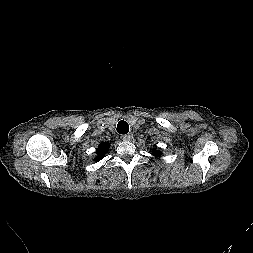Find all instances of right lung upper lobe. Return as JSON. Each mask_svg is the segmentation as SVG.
<instances>
[{
  "mask_svg": "<svg viewBox=\"0 0 253 253\" xmlns=\"http://www.w3.org/2000/svg\"><path fill=\"white\" fill-rule=\"evenodd\" d=\"M108 148H109V143H103L102 145H100L98 148L99 156L97 157L96 160H100L102 156L105 154V152L108 150Z\"/></svg>",
  "mask_w": 253,
  "mask_h": 253,
  "instance_id": "right-lung-upper-lobe-1",
  "label": "right lung upper lobe"
}]
</instances>
